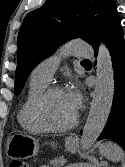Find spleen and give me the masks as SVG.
I'll use <instances>...</instances> for the list:
<instances>
[{"instance_id":"3e777b00","label":"spleen","mask_w":125,"mask_h":167,"mask_svg":"<svg viewBox=\"0 0 125 167\" xmlns=\"http://www.w3.org/2000/svg\"><path fill=\"white\" fill-rule=\"evenodd\" d=\"M98 148L99 153L108 160L118 162L123 158V151L121 148L111 141L98 144Z\"/></svg>"}]
</instances>
